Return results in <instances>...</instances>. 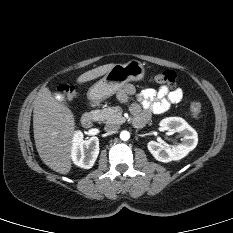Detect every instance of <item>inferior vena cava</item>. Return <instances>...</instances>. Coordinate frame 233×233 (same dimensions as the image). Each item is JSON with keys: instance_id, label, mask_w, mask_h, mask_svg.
Returning a JSON list of instances; mask_svg holds the SVG:
<instances>
[{"instance_id": "602c4592", "label": "inferior vena cava", "mask_w": 233, "mask_h": 233, "mask_svg": "<svg viewBox=\"0 0 233 233\" xmlns=\"http://www.w3.org/2000/svg\"><path fill=\"white\" fill-rule=\"evenodd\" d=\"M120 126L118 124L109 123L105 125V131L108 133H115L118 131Z\"/></svg>"}]
</instances>
